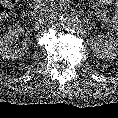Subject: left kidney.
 Segmentation results:
<instances>
[{
  "label": "left kidney",
  "instance_id": "5707ae66",
  "mask_svg": "<svg viewBox=\"0 0 118 118\" xmlns=\"http://www.w3.org/2000/svg\"><path fill=\"white\" fill-rule=\"evenodd\" d=\"M118 40L109 35H95L90 40V47L95 56L102 60L114 59L117 56Z\"/></svg>",
  "mask_w": 118,
  "mask_h": 118
}]
</instances>
